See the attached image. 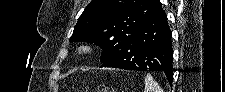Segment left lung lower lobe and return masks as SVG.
Instances as JSON below:
<instances>
[{
	"label": "left lung lower lobe",
	"instance_id": "0a47b994",
	"mask_svg": "<svg viewBox=\"0 0 225 92\" xmlns=\"http://www.w3.org/2000/svg\"><path fill=\"white\" fill-rule=\"evenodd\" d=\"M172 33L163 10L140 27L101 67L162 71L172 85Z\"/></svg>",
	"mask_w": 225,
	"mask_h": 92
}]
</instances>
